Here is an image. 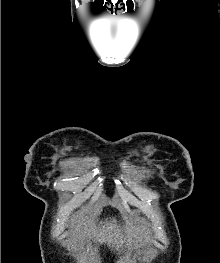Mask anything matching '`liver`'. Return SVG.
<instances>
[{"instance_id":"1","label":"liver","mask_w":220,"mask_h":263,"mask_svg":"<svg viewBox=\"0 0 220 263\" xmlns=\"http://www.w3.org/2000/svg\"><path fill=\"white\" fill-rule=\"evenodd\" d=\"M100 224L101 226L97 227L81 216L72 219L70 224L71 232L77 237L78 241H81V248H83L84 242L90 243L91 240H94L100 244L107 243L108 247L120 251L123 245L131 249L148 236L146 227L139 223L136 224L133 220L126 222L127 227L124 230V235L121 233L115 219Z\"/></svg>"}]
</instances>
